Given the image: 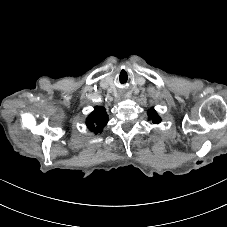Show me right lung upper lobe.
<instances>
[{
    "mask_svg": "<svg viewBox=\"0 0 227 227\" xmlns=\"http://www.w3.org/2000/svg\"><path fill=\"white\" fill-rule=\"evenodd\" d=\"M107 122L108 116L106 114V109L100 106H96L86 120L88 128L96 134L102 131Z\"/></svg>",
    "mask_w": 227,
    "mask_h": 227,
    "instance_id": "right-lung-upper-lobe-1",
    "label": "right lung upper lobe"
}]
</instances>
